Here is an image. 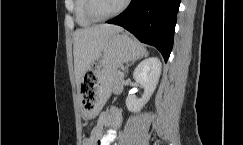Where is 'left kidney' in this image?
Segmentation results:
<instances>
[{
    "label": "left kidney",
    "mask_w": 243,
    "mask_h": 145,
    "mask_svg": "<svg viewBox=\"0 0 243 145\" xmlns=\"http://www.w3.org/2000/svg\"><path fill=\"white\" fill-rule=\"evenodd\" d=\"M162 64L157 57H150L138 64L133 73L134 80L144 87L141 98L130 95L126 98V107L131 112H139L154 93L161 75Z\"/></svg>",
    "instance_id": "obj_1"
}]
</instances>
